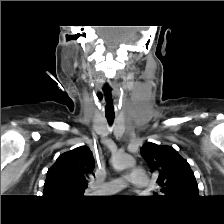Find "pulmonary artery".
Instances as JSON below:
<instances>
[{"mask_svg":"<svg viewBox=\"0 0 224 224\" xmlns=\"http://www.w3.org/2000/svg\"><path fill=\"white\" fill-rule=\"evenodd\" d=\"M149 184L150 179L144 171L133 169L127 176L111 178L103 185H99L97 190L102 193H115L127 185H131L138 189H145L149 187Z\"/></svg>","mask_w":224,"mask_h":224,"instance_id":"e3ab8cb5","label":"pulmonary artery"}]
</instances>
